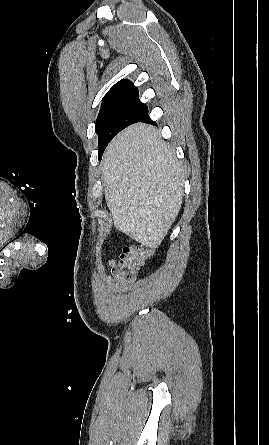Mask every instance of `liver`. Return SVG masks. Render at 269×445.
Here are the masks:
<instances>
[{"mask_svg":"<svg viewBox=\"0 0 269 445\" xmlns=\"http://www.w3.org/2000/svg\"><path fill=\"white\" fill-rule=\"evenodd\" d=\"M102 181L116 229L158 248L181 209L184 183L159 131L137 123L119 133L104 153Z\"/></svg>","mask_w":269,"mask_h":445,"instance_id":"1","label":"liver"}]
</instances>
